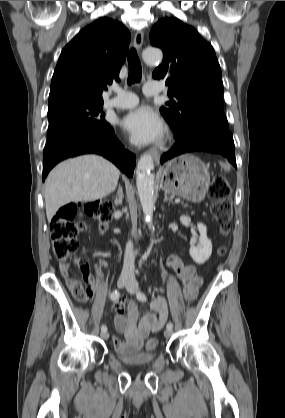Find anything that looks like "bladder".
Here are the masks:
<instances>
[{"label": "bladder", "instance_id": "bladder-1", "mask_svg": "<svg viewBox=\"0 0 285 418\" xmlns=\"http://www.w3.org/2000/svg\"><path fill=\"white\" fill-rule=\"evenodd\" d=\"M114 353L117 359L128 366H146L154 363L156 360V354L154 351L143 353V352H121L114 349Z\"/></svg>", "mask_w": 285, "mask_h": 418}]
</instances>
